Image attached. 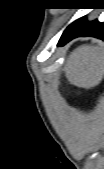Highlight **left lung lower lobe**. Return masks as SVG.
Masks as SVG:
<instances>
[{"mask_svg": "<svg viewBox=\"0 0 104 169\" xmlns=\"http://www.w3.org/2000/svg\"><path fill=\"white\" fill-rule=\"evenodd\" d=\"M80 36H93L104 39L103 23L98 22V20L87 22L85 16L77 19L65 29L58 45H63L73 38Z\"/></svg>", "mask_w": 104, "mask_h": 169, "instance_id": "obj_1", "label": "left lung lower lobe"}]
</instances>
